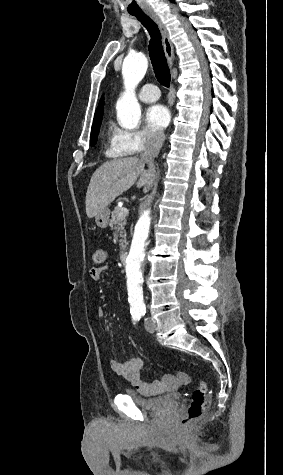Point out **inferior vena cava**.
Here are the masks:
<instances>
[{"label":"inferior vena cava","instance_id":"inferior-vena-cava-1","mask_svg":"<svg viewBox=\"0 0 283 475\" xmlns=\"http://www.w3.org/2000/svg\"><path fill=\"white\" fill-rule=\"evenodd\" d=\"M165 140L164 132H147L146 134V144L143 154L140 158L143 162L148 164L149 170H147L149 176H155L156 168L154 160L158 156Z\"/></svg>","mask_w":283,"mask_h":475}]
</instances>
